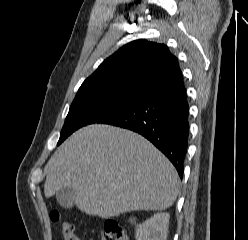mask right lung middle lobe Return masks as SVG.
Here are the masks:
<instances>
[{"mask_svg": "<svg viewBox=\"0 0 248 240\" xmlns=\"http://www.w3.org/2000/svg\"><path fill=\"white\" fill-rule=\"evenodd\" d=\"M139 99L108 88L79 89L70 106L58 145L75 130L96 123Z\"/></svg>", "mask_w": 248, "mask_h": 240, "instance_id": "1", "label": "right lung middle lobe"}]
</instances>
